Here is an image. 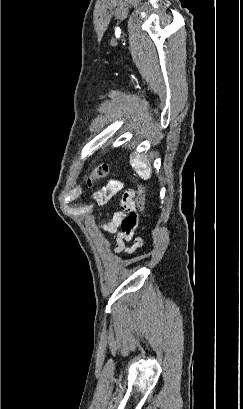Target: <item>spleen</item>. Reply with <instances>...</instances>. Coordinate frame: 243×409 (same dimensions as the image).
<instances>
[{
  "mask_svg": "<svg viewBox=\"0 0 243 409\" xmlns=\"http://www.w3.org/2000/svg\"><path fill=\"white\" fill-rule=\"evenodd\" d=\"M130 164L143 180H148L151 177L152 169L149 162L143 161L139 155L130 156Z\"/></svg>",
  "mask_w": 243,
  "mask_h": 409,
  "instance_id": "3e777b00",
  "label": "spleen"
}]
</instances>
